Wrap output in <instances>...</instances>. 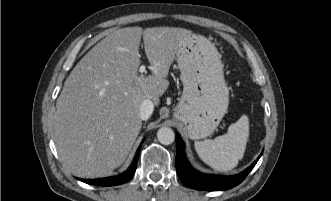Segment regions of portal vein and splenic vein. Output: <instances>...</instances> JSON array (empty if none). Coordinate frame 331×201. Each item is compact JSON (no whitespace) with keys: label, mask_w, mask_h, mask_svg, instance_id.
Returning <instances> with one entry per match:
<instances>
[{"label":"portal vein and splenic vein","mask_w":331,"mask_h":201,"mask_svg":"<svg viewBox=\"0 0 331 201\" xmlns=\"http://www.w3.org/2000/svg\"><path fill=\"white\" fill-rule=\"evenodd\" d=\"M145 70H146V67L144 65H141L140 68H139V72L144 73Z\"/></svg>","instance_id":"portal-vein-and-splenic-vein-1"}]
</instances>
